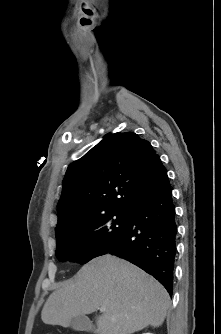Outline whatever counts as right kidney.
<instances>
[{"label":"right kidney","instance_id":"obj_1","mask_svg":"<svg viewBox=\"0 0 221 334\" xmlns=\"http://www.w3.org/2000/svg\"><path fill=\"white\" fill-rule=\"evenodd\" d=\"M143 334H153V333H143Z\"/></svg>","mask_w":221,"mask_h":334}]
</instances>
